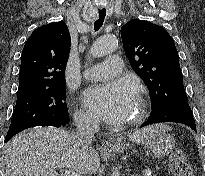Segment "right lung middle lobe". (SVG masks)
<instances>
[{
  "instance_id": "dd1d6c3e",
  "label": "right lung middle lobe",
  "mask_w": 205,
  "mask_h": 176,
  "mask_svg": "<svg viewBox=\"0 0 205 176\" xmlns=\"http://www.w3.org/2000/svg\"><path fill=\"white\" fill-rule=\"evenodd\" d=\"M65 84L17 94L16 106L6 135L7 142L24 129L48 123L69 122Z\"/></svg>"
}]
</instances>
